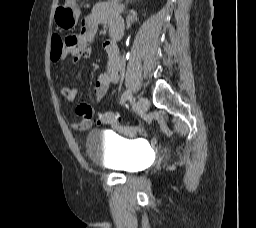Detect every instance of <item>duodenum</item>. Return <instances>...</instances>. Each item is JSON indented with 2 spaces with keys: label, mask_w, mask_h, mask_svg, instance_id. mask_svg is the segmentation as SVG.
<instances>
[{
  "label": "duodenum",
  "mask_w": 256,
  "mask_h": 228,
  "mask_svg": "<svg viewBox=\"0 0 256 228\" xmlns=\"http://www.w3.org/2000/svg\"><path fill=\"white\" fill-rule=\"evenodd\" d=\"M110 34L114 39L116 40L120 39L123 35V26L122 25L113 26L110 30Z\"/></svg>",
  "instance_id": "1"
}]
</instances>
